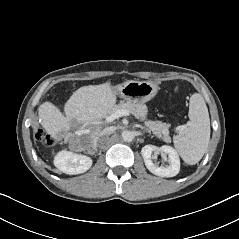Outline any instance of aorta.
Segmentation results:
<instances>
[{
	"instance_id": "1",
	"label": "aorta",
	"mask_w": 239,
	"mask_h": 239,
	"mask_svg": "<svg viewBox=\"0 0 239 239\" xmlns=\"http://www.w3.org/2000/svg\"><path fill=\"white\" fill-rule=\"evenodd\" d=\"M122 138L125 142H131L134 139V134L131 131H124Z\"/></svg>"
}]
</instances>
